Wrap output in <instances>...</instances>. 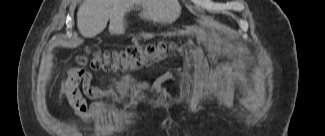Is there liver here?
Masks as SVG:
<instances>
[{
  "instance_id": "1",
  "label": "liver",
  "mask_w": 325,
  "mask_h": 136,
  "mask_svg": "<svg viewBox=\"0 0 325 136\" xmlns=\"http://www.w3.org/2000/svg\"><path fill=\"white\" fill-rule=\"evenodd\" d=\"M141 10L139 16L154 23L172 24L181 13L178 0H84L77 12V26L87 38L101 33L110 20L109 32L123 34L125 14Z\"/></svg>"
}]
</instances>
